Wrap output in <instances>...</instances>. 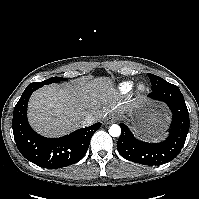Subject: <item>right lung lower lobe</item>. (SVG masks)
Returning <instances> with one entry per match:
<instances>
[{
	"label": "right lung lower lobe",
	"instance_id": "right-lung-lower-lobe-1",
	"mask_svg": "<svg viewBox=\"0 0 199 199\" xmlns=\"http://www.w3.org/2000/svg\"><path fill=\"white\" fill-rule=\"evenodd\" d=\"M35 88L27 87L16 104L13 113V134L20 153L32 163L55 169L78 162L87 152L96 123L60 138H46L37 134L27 121V104Z\"/></svg>",
	"mask_w": 199,
	"mask_h": 199
}]
</instances>
